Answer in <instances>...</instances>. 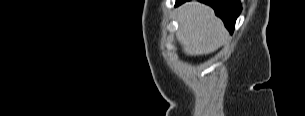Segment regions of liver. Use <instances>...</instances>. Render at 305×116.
<instances>
[{"instance_id":"6515ba94","label":"liver","mask_w":305,"mask_h":116,"mask_svg":"<svg viewBox=\"0 0 305 116\" xmlns=\"http://www.w3.org/2000/svg\"><path fill=\"white\" fill-rule=\"evenodd\" d=\"M177 40L187 55L209 54L220 48L228 37L214 10L198 1H189L178 9Z\"/></svg>"}]
</instances>
